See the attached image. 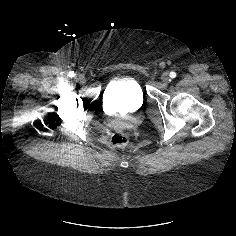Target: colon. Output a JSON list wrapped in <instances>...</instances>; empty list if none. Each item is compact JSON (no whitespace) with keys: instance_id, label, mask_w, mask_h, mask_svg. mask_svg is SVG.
Wrapping results in <instances>:
<instances>
[{"instance_id":"5ec220e1","label":"colon","mask_w":236,"mask_h":236,"mask_svg":"<svg viewBox=\"0 0 236 236\" xmlns=\"http://www.w3.org/2000/svg\"><path fill=\"white\" fill-rule=\"evenodd\" d=\"M128 141L129 138L127 133L125 132L112 133L108 138L109 144L117 149H123L124 147H126Z\"/></svg>"}]
</instances>
